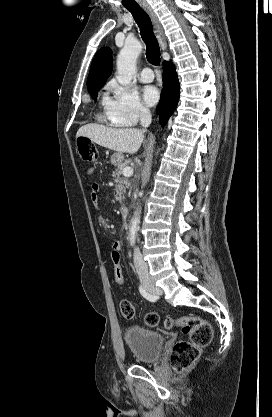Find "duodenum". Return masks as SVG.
I'll list each match as a JSON object with an SVG mask.
<instances>
[{
    "label": "duodenum",
    "mask_w": 272,
    "mask_h": 417,
    "mask_svg": "<svg viewBox=\"0 0 272 417\" xmlns=\"http://www.w3.org/2000/svg\"><path fill=\"white\" fill-rule=\"evenodd\" d=\"M121 214L124 218H127L128 213H129V209L126 205H122L120 208Z\"/></svg>",
    "instance_id": "obj_1"
}]
</instances>
